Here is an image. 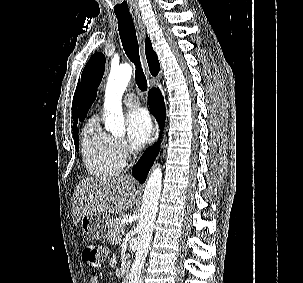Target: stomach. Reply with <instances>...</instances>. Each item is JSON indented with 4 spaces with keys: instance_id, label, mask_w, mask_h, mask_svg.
I'll return each instance as SVG.
<instances>
[{
    "instance_id": "stomach-1",
    "label": "stomach",
    "mask_w": 303,
    "mask_h": 283,
    "mask_svg": "<svg viewBox=\"0 0 303 283\" xmlns=\"http://www.w3.org/2000/svg\"><path fill=\"white\" fill-rule=\"evenodd\" d=\"M113 218L109 215H84L81 218V228L84 237L93 240H103L110 234Z\"/></svg>"
}]
</instances>
